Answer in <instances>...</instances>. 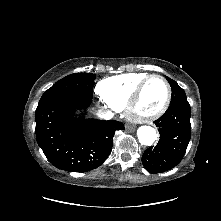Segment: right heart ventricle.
I'll return each mask as SVG.
<instances>
[{"label": "right heart ventricle", "instance_id": "obj_1", "mask_svg": "<svg viewBox=\"0 0 221 221\" xmlns=\"http://www.w3.org/2000/svg\"><path fill=\"white\" fill-rule=\"evenodd\" d=\"M148 76L147 73H126L103 79L97 91L105 103L115 110L126 107L133 91Z\"/></svg>", "mask_w": 221, "mask_h": 221}]
</instances>
